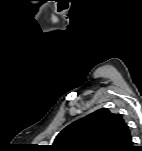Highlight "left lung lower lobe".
<instances>
[{"mask_svg":"<svg viewBox=\"0 0 142 151\" xmlns=\"http://www.w3.org/2000/svg\"><path fill=\"white\" fill-rule=\"evenodd\" d=\"M128 151H135V148L131 146Z\"/></svg>","mask_w":142,"mask_h":151,"instance_id":"1","label":"left lung lower lobe"}]
</instances>
